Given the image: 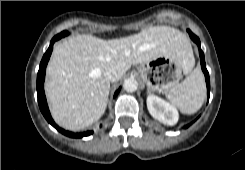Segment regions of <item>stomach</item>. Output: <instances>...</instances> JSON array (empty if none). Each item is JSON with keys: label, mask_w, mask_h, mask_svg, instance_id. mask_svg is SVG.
Wrapping results in <instances>:
<instances>
[{"label": "stomach", "mask_w": 245, "mask_h": 170, "mask_svg": "<svg viewBox=\"0 0 245 170\" xmlns=\"http://www.w3.org/2000/svg\"><path fill=\"white\" fill-rule=\"evenodd\" d=\"M183 68L172 55L159 56L141 64L138 72L149 91L167 92L182 78Z\"/></svg>", "instance_id": "stomach-1"}]
</instances>
